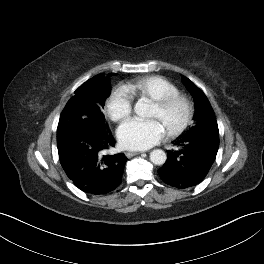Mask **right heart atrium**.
<instances>
[{
  "label": "right heart atrium",
  "instance_id": "right-heart-atrium-1",
  "mask_svg": "<svg viewBox=\"0 0 264 264\" xmlns=\"http://www.w3.org/2000/svg\"><path fill=\"white\" fill-rule=\"evenodd\" d=\"M133 109V97L125 86H119L106 100V110L109 117L115 121L128 118Z\"/></svg>",
  "mask_w": 264,
  "mask_h": 264
}]
</instances>
